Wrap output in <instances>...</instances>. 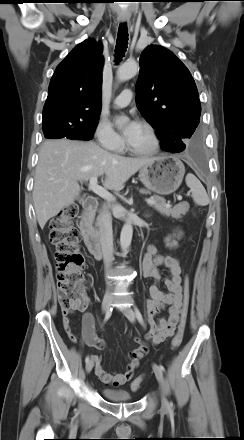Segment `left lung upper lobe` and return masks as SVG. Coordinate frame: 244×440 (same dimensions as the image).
<instances>
[{
  "instance_id": "obj_1",
  "label": "left lung upper lobe",
  "mask_w": 244,
  "mask_h": 440,
  "mask_svg": "<svg viewBox=\"0 0 244 440\" xmlns=\"http://www.w3.org/2000/svg\"><path fill=\"white\" fill-rule=\"evenodd\" d=\"M136 103L163 150H185L199 124L201 105L192 75L168 49L150 45L142 52Z\"/></svg>"
}]
</instances>
